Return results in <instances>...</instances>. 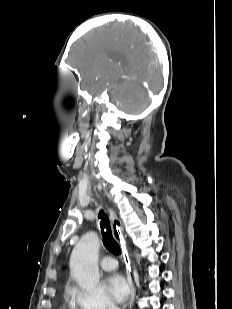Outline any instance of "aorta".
Instances as JSON below:
<instances>
[{
  "label": "aorta",
  "mask_w": 232,
  "mask_h": 309,
  "mask_svg": "<svg viewBox=\"0 0 232 309\" xmlns=\"http://www.w3.org/2000/svg\"><path fill=\"white\" fill-rule=\"evenodd\" d=\"M98 254L99 238L95 232L85 234L73 249L71 274L80 287L90 289L99 283Z\"/></svg>",
  "instance_id": "762f6f07"
}]
</instances>
